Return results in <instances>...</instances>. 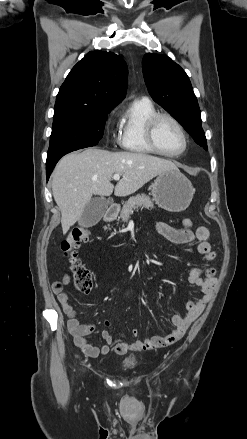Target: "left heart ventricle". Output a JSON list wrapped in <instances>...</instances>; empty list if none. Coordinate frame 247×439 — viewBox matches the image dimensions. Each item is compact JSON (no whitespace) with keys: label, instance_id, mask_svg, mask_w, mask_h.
Listing matches in <instances>:
<instances>
[{"label":"left heart ventricle","instance_id":"b2bd125f","mask_svg":"<svg viewBox=\"0 0 247 439\" xmlns=\"http://www.w3.org/2000/svg\"><path fill=\"white\" fill-rule=\"evenodd\" d=\"M155 139L159 148L168 153H176L183 147V138L178 128L168 119L158 122Z\"/></svg>","mask_w":247,"mask_h":439}]
</instances>
